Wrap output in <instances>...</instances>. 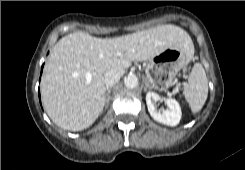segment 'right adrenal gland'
<instances>
[{
    "instance_id": "2a0ac1e0",
    "label": "right adrenal gland",
    "mask_w": 245,
    "mask_h": 170,
    "mask_svg": "<svg viewBox=\"0 0 245 170\" xmlns=\"http://www.w3.org/2000/svg\"><path fill=\"white\" fill-rule=\"evenodd\" d=\"M111 89H112V87L107 88V92H106V106H105V109H107L108 106H109Z\"/></svg>"
}]
</instances>
